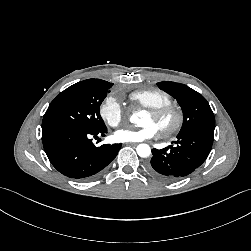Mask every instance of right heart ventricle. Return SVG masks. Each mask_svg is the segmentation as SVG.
Here are the masks:
<instances>
[{
	"instance_id": "1",
	"label": "right heart ventricle",
	"mask_w": 251,
	"mask_h": 251,
	"mask_svg": "<svg viewBox=\"0 0 251 251\" xmlns=\"http://www.w3.org/2000/svg\"><path fill=\"white\" fill-rule=\"evenodd\" d=\"M129 98L136 104L146 108H159L172 102L171 96L160 89H143L132 92Z\"/></svg>"
}]
</instances>
